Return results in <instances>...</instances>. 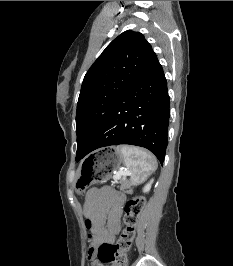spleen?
Wrapping results in <instances>:
<instances>
[{"label": "spleen", "mask_w": 233, "mask_h": 266, "mask_svg": "<svg viewBox=\"0 0 233 266\" xmlns=\"http://www.w3.org/2000/svg\"><path fill=\"white\" fill-rule=\"evenodd\" d=\"M117 150L123 156V162L130 177L129 185L131 186L144 182L157 168L153 155L143 149L122 145L117 147Z\"/></svg>", "instance_id": "spleen-1"}]
</instances>
